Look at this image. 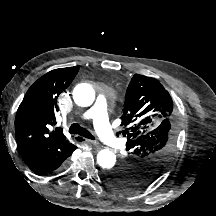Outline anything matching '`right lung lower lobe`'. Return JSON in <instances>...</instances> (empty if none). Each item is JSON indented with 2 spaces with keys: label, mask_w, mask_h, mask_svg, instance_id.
Masks as SVG:
<instances>
[{
  "label": "right lung lower lobe",
  "mask_w": 216,
  "mask_h": 216,
  "mask_svg": "<svg viewBox=\"0 0 216 216\" xmlns=\"http://www.w3.org/2000/svg\"><path fill=\"white\" fill-rule=\"evenodd\" d=\"M73 153V151L71 153H69L66 156H62L59 157L53 161H51L50 163H48L47 165L41 167L40 169L35 170L34 172L37 174H41V175H46V174H50L53 173L55 170L61 168L64 164V161Z\"/></svg>",
  "instance_id": "right-lung-lower-lobe-1"
}]
</instances>
